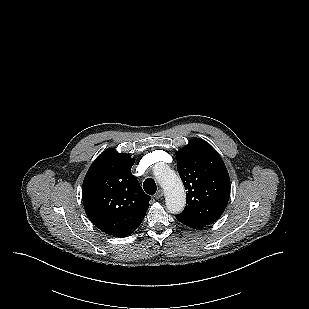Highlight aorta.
<instances>
[{"instance_id":"aorta-1","label":"aorta","mask_w":309,"mask_h":309,"mask_svg":"<svg viewBox=\"0 0 309 309\" xmlns=\"http://www.w3.org/2000/svg\"><path fill=\"white\" fill-rule=\"evenodd\" d=\"M154 175L165 191V204L168 211L173 214L182 212L186 203V194L180 177L165 164L158 165Z\"/></svg>"}]
</instances>
